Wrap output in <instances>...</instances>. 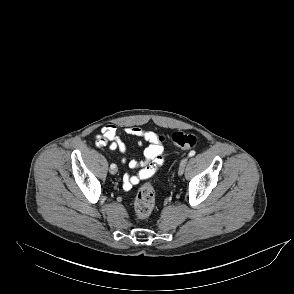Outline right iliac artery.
I'll return each mask as SVG.
<instances>
[{"instance_id": "obj_1", "label": "right iliac artery", "mask_w": 294, "mask_h": 294, "mask_svg": "<svg viewBox=\"0 0 294 294\" xmlns=\"http://www.w3.org/2000/svg\"><path fill=\"white\" fill-rule=\"evenodd\" d=\"M110 167L111 168H114V167H116V165L115 164H111Z\"/></svg>"}]
</instances>
